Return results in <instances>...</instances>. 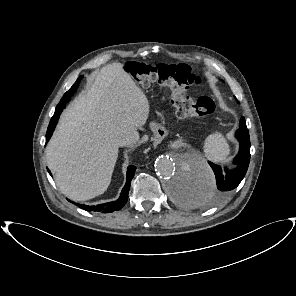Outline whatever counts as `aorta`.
Returning a JSON list of instances; mask_svg holds the SVG:
<instances>
[{"mask_svg":"<svg viewBox=\"0 0 296 296\" xmlns=\"http://www.w3.org/2000/svg\"><path fill=\"white\" fill-rule=\"evenodd\" d=\"M155 171L165 180L170 197L182 206L201 207L213 197L214 173L194 154L160 156L155 161Z\"/></svg>","mask_w":296,"mask_h":296,"instance_id":"aorta-1","label":"aorta"}]
</instances>
